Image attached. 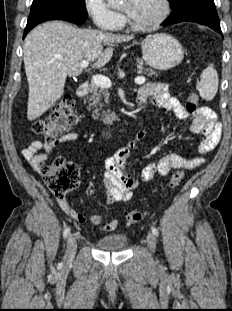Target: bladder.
I'll use <instances>...</instances> for the list:
<instances>
[{"mask_svg":"<svg viewBox=\"0 0 232 311\" xmlns=\"http://www.w3.org/2000/svg\"><path fill=\"white\" fill-rule=\"evenodd\" d=\"M128 245L126 235L120 233H113L102 236L97 239L96 247L100 251L105 252H122Z\"/></svg>","mask_w":232,"mask_h":311,"instance_id":"bladder-1","label":"bladder"}]
</instances>
